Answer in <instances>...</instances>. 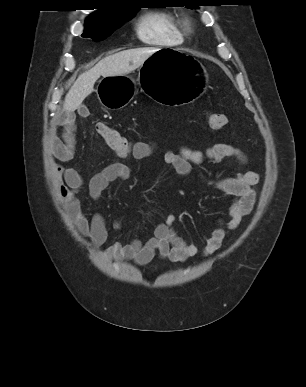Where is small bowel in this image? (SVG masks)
<instances>
[{
  "instance_id": "1",
  "label": "small bowel",
  "mask_w": 306,
  "mask_h": 387,
  "mask_svg": "<svg viewBox=\"0 0 306 387\" xmlns=\"http://www.w3.org/2000/svg\"><path fill=\"white\" fill-rule=\"evenodd\" d=\"M56 129H61L60 134L51 137V153L59 161H69L73 156L75 146V117L73 113H67L54 123ZM159 147L152 141H136L127 158L144 160L154 156ZM162 158L170 164L180 176L186 177L192 173L194 165H199L206 160L220 161L225 158H235L240 163H246L243 152L232 145L214 144L205 150L192 149L182 146L178 150L167 149ZM54 176L58 196L63 207L77 227L78 231L91 240L94 246H102L108 238L107 224L100 213L94 214L90 219L86 216L78 195L84 189V180L80 171L73 167H64L60 164L54 166ZM131 176V168L120 162L107 165L101 171L94 174L88 184L89 197L97 201L103 192L114 181L128 180ZM258 182V175L253 171L238 173L231 177H224L212 181L211 184L230 197L227 210V219L220 218L217 227L206 240L203 254L208 256L216 252L223 244L230 231L235 230L242 219L248 215L255 202L253 186ZM176 216L170 214L166 219L158 223L152 235L146 240L134 239L130 243L115 242L105 249L103 255L110 260H128L144 266L150 263L156 254L163 259L172 262H183L198 254V248L186 242L174 230ZM119 228V223L114 224Z\"/></svg>"
}]
</instances>
